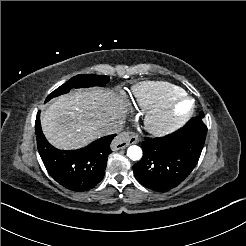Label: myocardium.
<instances>
[{
    "instance_id": "f54148a6",
    "label": "myocardium",
    "mask_w": 246,
    "mask_h": 246,
    "mask_svg": "<svg viewBox=\"0 0 246 246\" xmlns=\"http://www.w3.org/2000/svg\"><path fill=\"white\" fill-rule=\"evenodd\" d=\"M185 100L188 99L180 98L174 100L150 113L148 124L153 135L162 136L171 133L182 127L191 118L194 111L193 104L183 114L176 112L178 105Z\"/></svg>"
}]
</instances>
